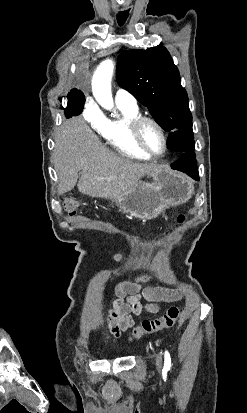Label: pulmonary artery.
I'll return each mask as SVG.
<instances>
[{
    "mask_svg": "<svg viewBox=\"0 0 247 413\" xmlns=\"http://www.w3.org/2000/svg\"><path fill=\"white\" fill-rule=\"evenodd\" d=\"M115 100L117 104L126 107H134L137 103L135 96L129 90L121 87L116 90Z\"/></svg>",
    "mask_w": 247,
    "mask_h": 413,
    "instance_id": "obj_1",
    "label": "pulmonary artery"
}]
</instances>
